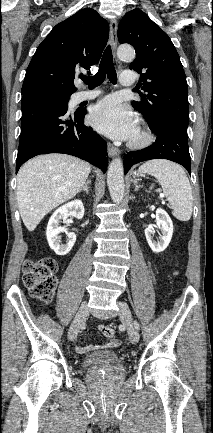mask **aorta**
Instances as JSON below:
<instances>
[{
    "instance_id": "obj_1",
    "label": "aorta",
    "mask_w": 213,
    "mask_h": 433,
    "mask_svg": "<svg viewBox=\"0 0 213 433\" xmlns=\"http://www.w3.org/2000/svg\"><path fill=\"white\" fill-rule=\"evenodd\" d=\"M117 56L120 60H132L135 57V50L131 46L123 45L117 50ZM107 184L111 199L114 203H120L124 197V171L123 163L120 158L114 159L107 172Z\"/></svg>"
}]
</instances>
